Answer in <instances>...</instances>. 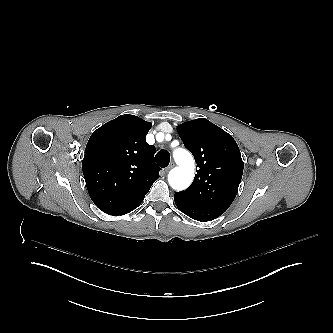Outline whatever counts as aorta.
<instances>
[{"mask_svg": "<svg viewBox=\"0 0 333 333\" xmlns=\"http://www.w3.org/2000/svg\"><path fill=\"white\" fill-rule=\"evenodd\" d=\"M183 154H186L188 158L183 159ZM174 157L179 159L180 165L170 171L168 179L173 188L182 190L187 188L193 180L194 161L192 156L185 150H177Z\"/></svg>", "mask_w": 333, "mask_h": 333, "instance_id": "1", "label": "aorta"}]
</instances>
